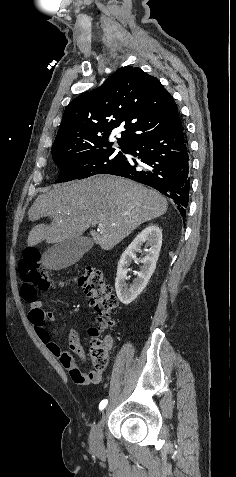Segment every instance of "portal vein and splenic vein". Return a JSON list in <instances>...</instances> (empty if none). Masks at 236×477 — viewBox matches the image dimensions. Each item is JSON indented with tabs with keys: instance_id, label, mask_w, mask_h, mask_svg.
Returning <instances> with one entry per match:
<instances>
[{
	"instance_id": "obj_1",
	"label": "portal vein and splenic vein",
	"mask_w": 236,
	"mask_h": 477,
	"mask_svg": "<svg viewBox=\"0 0 236 477\" xmlns=\"http://www.w3.org/2000/svg\"><path fill=\"white\" fill-rule=\"evenodd\" d=\"M103 227V224H98V230Z\"/></svg>"
}]
</instances>
